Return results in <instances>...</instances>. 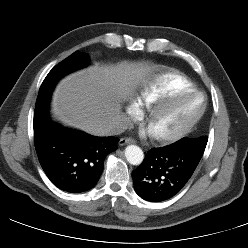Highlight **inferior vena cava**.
Listing matches in <instances>:
<instances>
[{"mask_svg": "<svg viewBox=\"0 0 248 248\" xmlns=\"http://www.w3.org/2000/svg\"><path fill=\"white\" fill-rule=\"evenodd\" d=\"M131 126V121L125 114H120L115 122L106 130V136L119 135Z\"/></svg>", "mask_w": 248, "mask_h": 248, "instance_id": "obj_1", "label": "inferior vena cava"}]
</instances>
